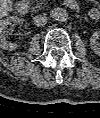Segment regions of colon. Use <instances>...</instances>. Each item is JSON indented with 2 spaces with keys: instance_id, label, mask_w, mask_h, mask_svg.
Returning <instances> with one entry per match:
<instances>
[{
  "instance_id": "obj_1",
  "label": "colon",
  "mask_w": 100,
  "mask_h": 118,
  "mask_svg": "<svg viewBox=\"0 0 100 118\" xmlns=\"http://www.w3.org/2000/svg\"><path fill=\"white\" fill-rule=\"evenodd\" d=\"M92 15L97 18V17L99 16V13L96 12V11H94V12L92 13Z\"/></svg>"
}]
</instances>
